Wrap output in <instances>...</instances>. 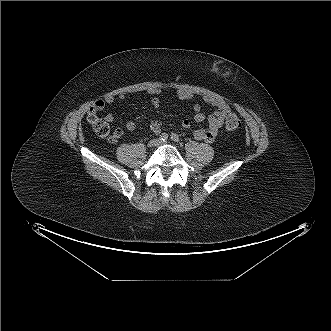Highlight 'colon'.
I'll use <instances>...</instances> for the list:
<instances>
[{"instance_id": "1", "label": "colon", "mask_w": 331, "mask_h": 331, "mask_svg": "<svg viewBox=\"0 0 331 331\" xmlns=\"http://www.w3.org/2000/svg\"><path fill=\"white\" fill-rule=\"evenodd\" d=\"M87 119L97 135L101 138L114 141L120 134V132L117 130L112 133L108 123L99 118L94 112H89ZM225 124L229 131H236L241 127L240 119L234 114H230L227 117Z\"/></svg>"}]
</instances>
